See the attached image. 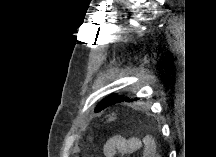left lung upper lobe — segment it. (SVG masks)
Returning a JSON list of instances; mask_svg holds the SVG:
<instances>
[{"instance_id":"obj_1","label":"left lung upper lobe","mask_w":216,"mask_h":157,"mask_svg":"<svg viewBox=\"0 0 216 157\" xmlns=\"http://www.w3.org/2000/svg\"><path fill=\"white\" fill-rule=\"evenodd\" d=\"M137 99L138 98L131 99L129 97H123L113 93L98 103V105L95 108V112H100L101 110L119 102H123V101L132 102L133 100H137Z\"/></svg>"}]
</instances>
